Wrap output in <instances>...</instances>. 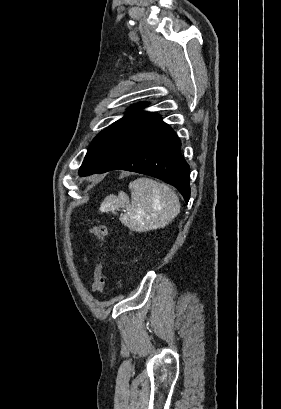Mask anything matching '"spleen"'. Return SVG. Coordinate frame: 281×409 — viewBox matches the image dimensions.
<instances>
[{"mask_svg":"<svg viewBox=\"0 0 281 409\" xmlns=\"http://www.w3.org/2000/svg\"><path fill=\"white\" fill-rule=\"evenodd\" d=\"M131 202L124 190L118 196L109 194L100 205L101 213L125 209L122 223L138 233L164 229L180 213V200L167 184L152 178H136L129 182Z\"/></svg>","mask_w":281,"mask_h":409,"instance_id":"3e777b00","label":"spleen"}]
</instances>
